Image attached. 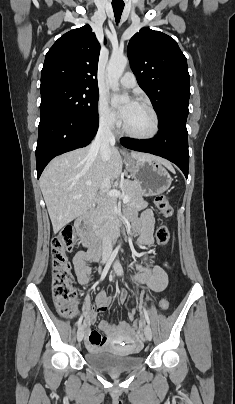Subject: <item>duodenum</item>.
I'll list each match as a JSON object with an SVG mask.
<instances>
[{
  "label": "duodenum",
  "instance_id": "obj_1",
  "mask_svg": "<svg viewBox=\"0 0 235 404\" xmlns=\"http://www.w3.org/2000/svg\"><path fill=\"white\" fill-rule=\"evenodd\" d=\"M76 228L83 237L84 241L92 249L94 255L93 260H97L100 256L103 243L105 241L113 242L117 240L118 233L102 238L98 234L94 233L92 229V211H89L79 218L75 222Z\"/></svg>",
  "mask_w": 235,
  "mask_h": 404
}]
</instances>
